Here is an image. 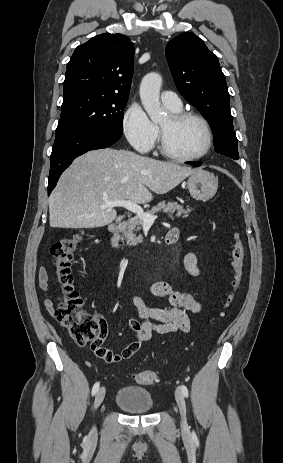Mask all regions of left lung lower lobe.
Instances as JSON below:
<instances>
[{
  "mask_svg": "<svg viewBox=\"0 0 283 463\" xmlns=\"http://www.w3.org/2000/svg\"><path fill=\"white\" fill-rule=\"evenodd\" d=\"M199 165H201V164H200V163H196V164H194V166H199Z\"/></svg>",
  "mask_w": 283,
  "mask_h": 463,
  "instance_id": "left-lung-lower-lobe-1",
  "label": "left lung lower lobe"
}]
</instances>
